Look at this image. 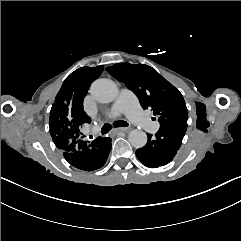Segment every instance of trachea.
I'll use <instances>...</instances> for the list:
<instances>
[{"label": "trachea", "instance_id": "trachea-1", "mask_svg": "<svg viewBox=\"0 0 241 241\" xmlns=\"http://www.w3.org/2000/svg\"><path fill=\"white\" fill-rule=\"evenodd\" d=\"M128 124L125 121H115L113 124L110 123H105L101 129V133L102 134H106L108 133L111 129L112 126L114 127H126ZM90 138H92V136H90Z\"/></svg>", "mask_w": 241, "mask_h": 241}]
</instances>
